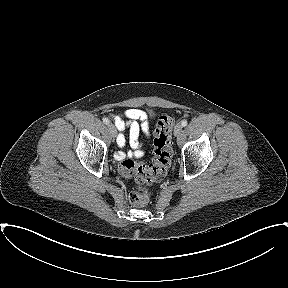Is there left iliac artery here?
Masks as SVG:
<instances>
[{"mask_svg":"<svg viewBox=\"0 0 288 288\" xmlns=\"http://www.w3.org/2000/svg\"><path fill=\"white\" fill-rule=\"evenodd\" d=\"M187 124H188L187 120L184 119V120L181 121V125L183 127L187 126Z\"/></svg>","mask_w":288,"mask_h":288,"instance_id":"44dca946","label":"left iliac artery"}]
</instances>
